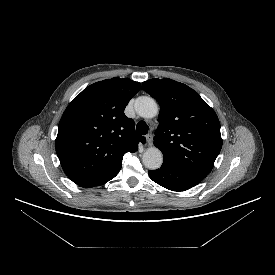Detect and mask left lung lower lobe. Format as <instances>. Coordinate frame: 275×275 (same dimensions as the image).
Listing matches in <instances>:
<instances>
[{"label": "left lung lower lobe", "instance_id": "1", "mask_svg": "<svg viewBox=\"0 0 275 275\" xmlns=\"http://www.w3.org/2000/svg\"><path fill=\"white\" fill-rule=\"evenodd\" d=\"M148 174L154 182L172 191L188 190L202 180L190 172L164 162L160 169L150 170Z\"/></svg>", "mask_w": 275, "mask_h": 275}]
</instances>
